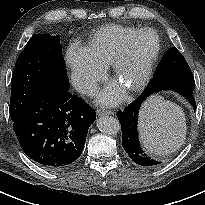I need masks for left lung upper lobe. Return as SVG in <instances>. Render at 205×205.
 I'll return each mask as SVG.
<instances>
[{
	"mask_svg": "<svg viewBox=\"0 0 205 205\" xmlns=\"http://www.w3.org/2000/svg\"><path fill=\"white\" fill-rule=\"evenodd\" d=\"M187 71H191L188 63L177 48L173 47L170 48L164 55L161 63L154 73V78H160L166 75Z\"/></svg>",
	"mask_w": 205,
	"mask_h": 205,
	"instance_id": "left-lung-upper-lobe-1",
	"label": "left lung upper lobe"
}]
</instances>
